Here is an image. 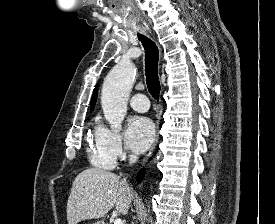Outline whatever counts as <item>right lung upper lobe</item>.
<instances>
[{
    "mask_svg": "<svg viewBox=\"0 0 275 224\" xmlns=\"http://www.w3.org/2000/svg\"><path fill=\"white\" fill-rule=\"evenodd\" d=\"M96 98H97V86H96V88L94 89V92H93V96H92V100H91V106H90L91 110H93V108L95 106Z\"/></svg>",
    "mask_w": 275,
    "mask_h": 224,
    "instance_id": "cb5924a9",
    "label": "right lung upper lobe"
}]
</instances>
